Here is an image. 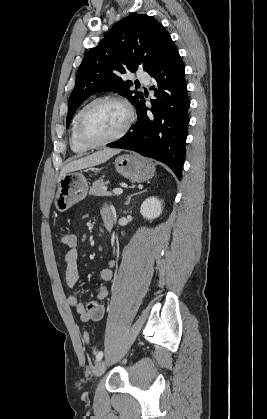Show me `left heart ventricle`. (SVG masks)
I'll return each mask as SVG.
<instances>
[{"instance_id": "1", "label": "left heart ventricle", "mask_w": 267, "mask_h": 419, "mask_svg": "<svg viewBox=\"0 0 267 419\" xmlns=\"http://www.w3.org/2000/svg\"><path fill=\"white\" fill-rule=\"evenodd\" d=\"M126 121V111L122 105L103 101L91 106L85 113L82 132L92 142L108 139L115 135Z\"/></svg>"}]
</instances>
